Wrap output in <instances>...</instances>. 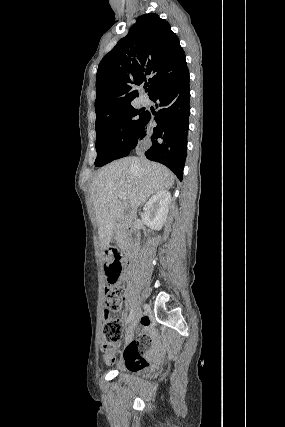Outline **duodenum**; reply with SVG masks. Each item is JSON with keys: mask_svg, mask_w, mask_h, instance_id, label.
Returning a JSON list of instances; mask_svg holds the SVG:
<instances>
[{"mask_svg": "<svg viewBox=\"0 0 285 427\" xmlns=\"http://www.w3.org/2000/svg\"><path fill=\"white\" fill-rule=\"evenodd\" d=\"M135 225L136 221L134 219H121L117 220L114 224L115 228L122 231V238L124 241L122 254L125 260H129L135 252V239L132 234ZM115 253L118 254V251Z\"/></svg>", "mask_w": 285, "mask_h": 427, "instance_id": "1", "label": "duodenum"}]
</instances>
